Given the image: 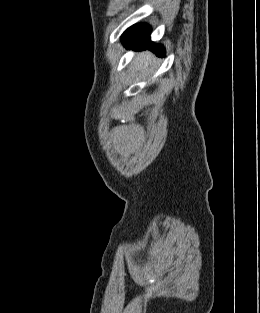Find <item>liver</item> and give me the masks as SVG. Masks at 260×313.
Returning a JSON list of instances; mask_svg holds the SVG:
<instances>
[{
  "mask_svg": "<svg viewBox=\"0 0 260 313\" xmlns=\"http://www.w3.org/2000/svg\"><path fill=\"white\" fill-rule=\"evenodd\" d=\"M153 55L149 52L139 53L133 60L130 68L133 71H140L143 73L149 72L148 65L151 62Z\"/></svg>",
  "mask_w": 260,
  "mask_h": 313,
  "instance_id": "6515ba94",
  "label": "liver"
}]
</instances>
